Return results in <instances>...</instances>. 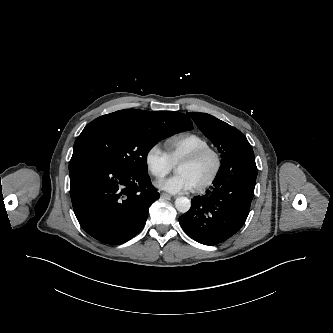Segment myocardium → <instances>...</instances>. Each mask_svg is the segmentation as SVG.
<instances>
[{"instance_id":"1","label":"myocardium","mask_w":333,"mask_h":333,"mask_svg":"<svg viewBox=\"0 0 333 333\" xmlns=\"http://www.w3.org/2000/svg\"><path fill=\"white\" fill-rule=\"evenodd\" d=\"M210 156L213 159V169L209 175V177L200 185H198L195 190L196 191H204L207 188H209L214 181L216 180V178L219 175L220 169H221V165H222V161H221V157L220 155L212 148L210 147H206V148H202L199 150H196L188 155H186L185 157H183L179 163L185 162V163H194V162H198L200 160H202L203 158Z\"/></svg>"}]
</instances>
